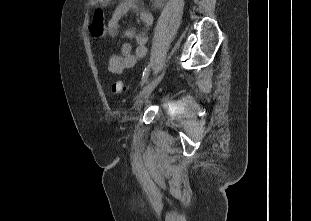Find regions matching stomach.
Masks as SVG:
<instances>
[{
	"instance_id": "1",
	"label": "stomach",
	"mask_w": 311,
	"mask_h": 221,
	"mask_svg": "<svg viewBox=\"0 0 311 221\" xmlns=\"http://www.w3.org/2000/svg\"><path fill=\"white\" fill-rule=\"evenodd\" d=\"M100 2H104V0H100Z\"/></svg>"
}]
</instances>
